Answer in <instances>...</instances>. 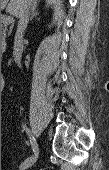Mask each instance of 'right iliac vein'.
I'll list each match as a JSON object with an SVG mask.
<instances>
[{"instance_id": "right-iliac-vein-1", "label": "right iliac vein", "mask_w": 109, "mask_h": 170, "mask_svg": "<svg viewBox=\"0 0 109 170\" xmlns=\"http://www.w3.org/2000/svg\"><path fill=\"white\" fill-rule=\"evenodd\" d=\"M32 139H34V138L32 137ZM34 141H35V139H34ZM35 144L37 146L36 152H34V155L32 157L28 158V160H25L21 164L20 170H26L36 162V160L38 158V145H37L36 141H35Z\"/></svg>"}]
</instances>
